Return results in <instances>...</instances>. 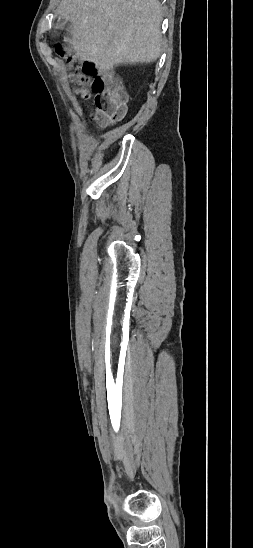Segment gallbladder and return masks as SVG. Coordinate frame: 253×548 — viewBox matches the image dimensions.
Instances as JSON below:
<instances>
[{"label":"gallbladder","mask_w":253,"mask_h":548,"mask_svg":"<svg viewBox=\"0 0 253 548\" xmlns=\"http://www.w3.org/2000/svg\"><path fill=\"white\" fill-rule=\"evenodd\" d=\"M58 21H59V22H58V23H59V26H61V25H62L63 23H65L67 20H66L65 18H60Z\"/></svg>","instance_id":"obj_1"}]
</instances>
